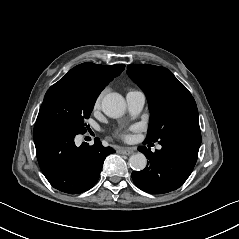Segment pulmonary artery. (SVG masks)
I'll return each mask as SVG.
<instances>
[{"mask_svg":"<svg viewBox=\"0 0 239 239\" xmlns=\"http://www.w3.org/2000/svg\"><path fill=\"white\" fill-rule=\"evenodd\" d=\"M145 100V94L138 89H130L126 94L128 108L134 114L142 110ZM158 149H161V145H158Z\"/></svg>","mask_w":239,"mask_h":239,"instance_id":"obj_1","label":"pulmonary artery"}]
</instances>
